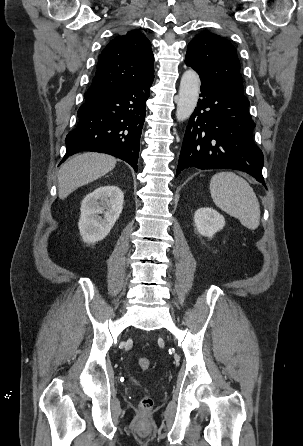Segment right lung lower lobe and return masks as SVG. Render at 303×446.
Here are the masks:
<instances>
[{
    "label": "right lung lower lobe",
    "mask_w": 303,
    "mask_h": 446,
    "mask_svg": "<svg viewBox=\"0 0 303 446\" xmlns=\"http://www.w3.org/2000/svg\"><path fill=\"white\" fill-rule=\"evenodd\" d=\"M153 79L86 99L78 110L77 127L65 139L67 151L61 163L75 153L93 151L118 157L136 170Z\"/></svg>",
    "instance_id": "98d812e1"
}]
</instances>
